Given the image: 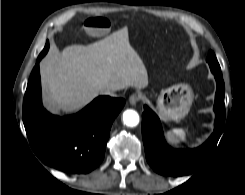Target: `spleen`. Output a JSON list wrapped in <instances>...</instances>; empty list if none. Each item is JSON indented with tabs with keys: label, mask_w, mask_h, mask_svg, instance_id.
Here are the masks:
<instances>
[{
	"label": "spleen",
	"mask_w": 245,
	"mask_h": 195,
	"mask_svg": "<svg viewBox=\"0 0 245 195\" xmlns=\"http://www.w3.org/2000/svg\"><path fill=\"white\" fill-rule=\"evenodd\" d=\"M167 136L174 143H179L180 141L185 142L187 140V132L182 128H174L172 130L167 131Z\"/></svg>",
	"instance_id": "3e777b00"
}]
</instances>
